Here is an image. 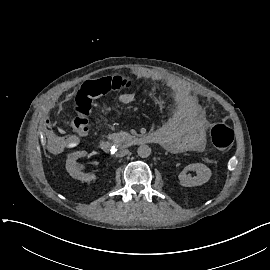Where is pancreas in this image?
<instances>
[{
	"mask_svg": "<svg viewBox=\"0 0 270 270\" xmlns=\"http://www.w3.org/2000/svg\"><path fill=\"white\" fill-rule=\"evenodd\" d=\"M131 135L126 132H117L111 133L108 135V139L114 141L115 143H119V147L123 148L125 144L131 139Z\"/></svg>",
	"mask_w": 270,
	"mask_h": 270,
	"instance_id": "obj_1",
	"label": "pancreas"
}]
</instances>
